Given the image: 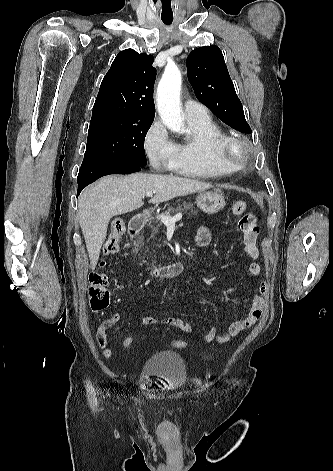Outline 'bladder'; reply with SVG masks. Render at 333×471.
<instances>
[{
    "label": "bladder",
    "instance_id": "bladder-1",
    "mask_svg": "<svg viewBox=\"0 0 333 471\" xmlns=\"http://www.w3.org/2000/svg\"><path fill=\"white\" fill-rule=\"evenodd\" d=\"M141 375L156 377L167 383V389H181L187 380V370L183 358L172 351H161L146 360Z\"/></svg>",
    "mask_w": 333,
    "mask_h": 471
}]
</instances>
